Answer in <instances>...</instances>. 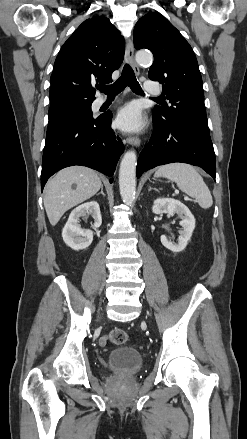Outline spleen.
<instances>
[{"instance_id": "3e777b00", "label": "spleen", "mask_w": 247, "mask_h": 439, "mask_svg": "<svg viewBox=\"0 0 247 439\" xmlns=\"http://www.w3.org/2000/svg\"><path fill=\"white\" fill-rule=\"evenodd\" d=\"M155 177H166L174 181L178 188L195 198L202 209L212 206V195L197 170L186 163H170L158 168Z\"/></svg>"}]
</instances>
